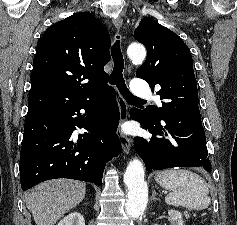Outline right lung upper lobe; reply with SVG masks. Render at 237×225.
I'll list each match as a JSON object with an SVG mask.
<instances>
[{
    "label": "right lung upper lobe",
    "mask_w": 237,
    "mask_h": 225,
    "mask_svg": "<svg viewBox=\"0 0 237 225\" xmlns=\"http://www.w3.org/2000/svg\"><path fill=\"white\" fill-rule=\"evenodd\" d=\"M109 46L108 31L90 13L50 26L37 44L28 112L71 104L106 88Z\"/></svg>",
    "instance_id": "cb5924a9"
}]
</instances>
